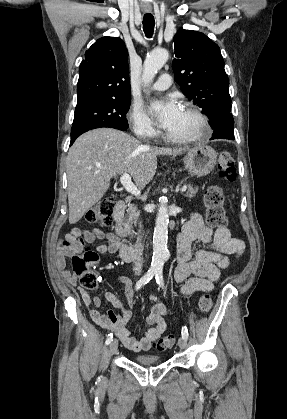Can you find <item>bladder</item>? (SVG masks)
<instances>
[{"instance_id": "31cf9c89", "label": "bladder", "mask_w": 287, "mask_h": 419, "mask_svg": "<svg viewBox=\"0 0 287 419\" xmlns=\"http://www.w3.org/2000/svg\"><path fill=\"white\" fill-rule=\"evenodd\" d=\"M136 362L144 365H153L160 361L158 357L151 355H138L135 357Z\"/></svg>"}]
</instances>
